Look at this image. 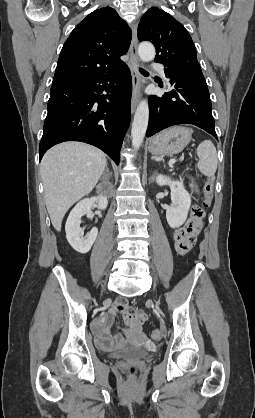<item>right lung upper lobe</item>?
<instances>
[{
	"label": "right lung upper lobe",
	"instance_id": "cb5924a9",
	"mask_svg": "<svg viewBox=\"0 0 255 418\" xmlns=\"http://www.w3.org/2000/svg\"><path fill=\"white\" fill-rule=\"evenodd\" d=\"M132 33L117 12L104 7L79 23L61 50L54 82H63L117 71L126 64Z\"/></svg>",
	"mask_w": 255,
	"mask_h": 418
}]
</instances>
